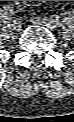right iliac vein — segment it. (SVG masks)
I'll list each match as a JSON object with an SVG mask.
<instances>
[{
  "label": "right iliac vein",
  "mask_w": 74,
  "mask_h": 122,
  "mask_svg": "<svg viewBox=\"0 0 74 122\" xmlns=\"http://www.w3.org/2000/svg\"><path fill=\"white\" fill-rule=\"evenodd\" d=\"M12 25H13L14 30H16V31H20L21 30L22 24H21V22L19 20H17V19L14 20Z\"/></svg>",
  "instance_id": "obj_1"
}]
</instances>
